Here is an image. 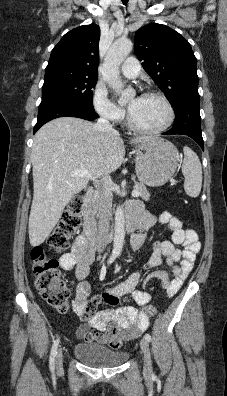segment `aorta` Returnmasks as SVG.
<instances>
[{
    "mask_svg": "<svg viewBox=\"0 0 227 396\" xmlns=\"http://www.w3.org/2000/svg\"><path fill=\"white\" fill-rule=\"evenodd\" d=\"M133 47L129 39H118L110 47L104 60L102 76L104 81L115 91L121 93L120 101H125L128 94L122 91V81L119 76V67L129 55ZM125 238V217L121 206L115 211L113 250L121 252Z\"/></svg>",
    "mask_w": 227,
    "mask_h": 396,
    "instance_id": "1",
    "label": "aorta"
}]
</instances>
